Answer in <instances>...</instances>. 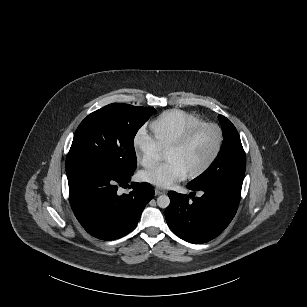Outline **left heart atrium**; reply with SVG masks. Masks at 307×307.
<instances>
[{
    "label": "left heart atrium",
    "mask_w": 307,
    "mask_h": 307,
    "mask_svg": "<svg viewBox=\"0 0 307 307\" xmlns=\"http://www.w3.org/2000/svg\"><path fill=\"white\" fill-rule=\"evenodd\" d=\"M187 173L176 163L167 161L143 171L140 178L160 188H167L174 182L182 181Z\"/></svg>",
    "instance_id": "left-heart-atrium-1"
}]
</instances>
